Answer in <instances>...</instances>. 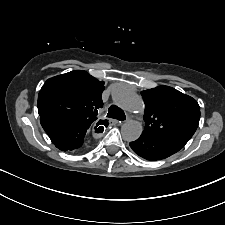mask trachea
Wrapping results in <instances>:
<instances>
[{"label": "trachea", "instance_id": "1", "mask_svg": "<svg viewBox=\"0 0 225 225\" xmlns=\"http://www.w3.org/2000/svg\"><path fill=\"white\" fill-rule=\"evenodd\" d=\"M107 117L114 118L121 121L126 119L124 111L115 105H111L109 107Z\"/></svg>", "mask_w": 225, "mask_h": 225}]
</instances>
